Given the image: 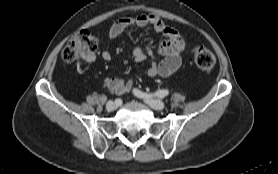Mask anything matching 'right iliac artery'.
<instances>
[{"instance_id": "1", "label": "right iliac artery", "mask_w": 278, "mask_h": 174, "mask_svg": "<svg viewBox=\"0 0 278 174\" xmlns=\"http://www.w3.org/2000/svg\"><path fill=\"white\" fill-rule=\"evenodd\" d=\"M115 103H116L117 105H121V104H122V101H121V99H116V100H115Z\"/></svg>"}]
</instances>
